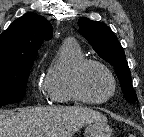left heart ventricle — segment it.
<instances>
[{
    "label": "left heart ventricle",
    "instance_id": "b2bd125f",
    "mask_svg": "<svg viewBox=\"0 0 144 137\" xmlns=\"http://www.w3.org/2000/svg\"><path fill=\"white\" fill-rule=\"evenodd\" d=\"M82 89L90 99H102L112 89L108 75L98 66H89L82 76Z\"/></svg>",
    "mask_w": 144,
    "mask_h": 137
}]
</instances>
